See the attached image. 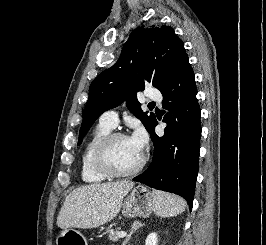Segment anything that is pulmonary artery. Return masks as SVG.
Wrapping results in <instances>:
<instances>
[{
	"instance_id": "pulmonary-artery-1",
	"label": "pulmonary artery",
	"mask_w": 266,
	"mask_h": 245,
	"mask_svg": "<svg viewBox=\"0 0 266 245\" xmlns=\"http://www.w3.org/2000/svg\"><path fill=\"white\" fill-rule=\"evenodd\" d=\"M159 91H149V100L150 101H159L160 100ZM99 122L107 124L111 127H114L118 122V113L114 110H109L104 112L100 118Z\"/></svg>"
}]
</instances>
